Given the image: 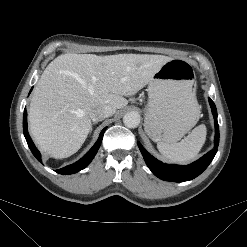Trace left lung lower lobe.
<instances>
[{
    "mask_svg": "<svg viewBox=\"0 0 247 247\" xmlns=\"http://www.w3.org/2000/svg\"><path fill=\"white\" fill-rule=\"evenodd\" d=\"M209 103L212 109L215 120V148L201 157L199 160L193 162L190 165L180 166V165H169L164 164L150 155L145 148L138 142L139 149L143 155V158L148 166V168L156 175L158 178L171 181V182H184L192 180L198 175H200L211 163L217 152V146L219 144V127L217 122V110L214 102L209 98Z\"/></svg>",
    "mask_w": 247,
    "mask_h": 247,
    "instance_id": "0a47b994",
    "label": "left lung lower lobe"
}]
</instances>
